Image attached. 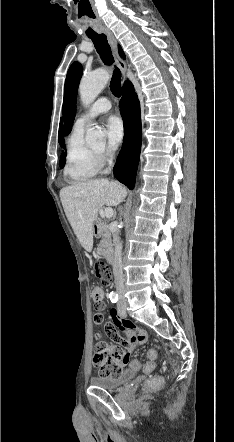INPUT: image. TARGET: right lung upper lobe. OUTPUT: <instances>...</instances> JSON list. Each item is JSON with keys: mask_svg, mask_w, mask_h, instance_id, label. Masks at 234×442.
Instances as JSON below:
<instances>
[{"mask_svg": "<svg viewBox=\"0 0 234 442\" xmlns=\"http://www.w3.org/2000/svg\"><path fill=\"white\" fill-rule=\"evenodd\" d=\"M119 54L123 59H125L124 52L122 51L120 46H119ZM61 127H62V122L60 123V128H59V143L61 146L64 147V140H63L62 133H61Z\"/></svg>", "mask_w": 234, "mask_h": 442, "instance_id": "obj_1", "label": "right lung upper lobe"}]
</instances>
